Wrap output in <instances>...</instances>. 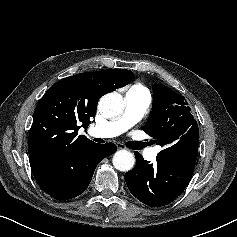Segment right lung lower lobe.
I'll use <instances>...</instances> for the list:
<instances>
[{
  "mask_svg": "<svg viewBox=\"0 0 237 237\" xmlns=\"http://www.w3.org/2000/svg\"><path fill=\"white\" fill-rule=\"evenodd\" d=\"M116 150L114 143L89 141L31 168L43 191L58 200L71 199L86 190L97 165Z\"/></svg>",
  "mask_w": 237,
  "mask_h": 237,
  "instance_id": "right-lung-lower-lobe-1",
  "label": "right lung lower lobe"
}]
</instances>
